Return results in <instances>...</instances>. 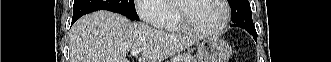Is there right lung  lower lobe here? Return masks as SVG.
I'll return each instance as SVG.
<instances>
[{
  "label": "right lung lower lobe",
  "instance_id": "98d812e1",
  "mask_svg": "<svg viewBox=\"0 0 331 62\" xmlns=\"http://www.w3.org/2000/svg\"><path fill=\"white\" fill-rule=\"evenodd\" d=\"M78 18H72V24L77 20Z\"/></svg>",
  "mask_w": 331,
  "mask_h": 62
}]
</instances>
